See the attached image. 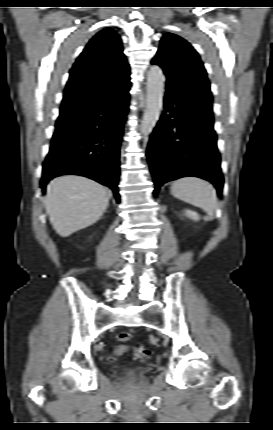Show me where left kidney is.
<instances>
[{
  "label": "left kidney",
  "instance_id": "1",
  "mask_svg": "<svg viewBox=\"0 0 273 430\" xmlns=\"http://www.w3.org/2000/svg\"><path fill=\"white\" fill-rule=\"evenodd\" d=\"M185 214L187 217L191 218L192 220L198 221L199 220V215L197 212L192 211V210H186Z\"/></svg>",
  "mask_w": 273,
  "mask_h": 430
}]
</instances>
